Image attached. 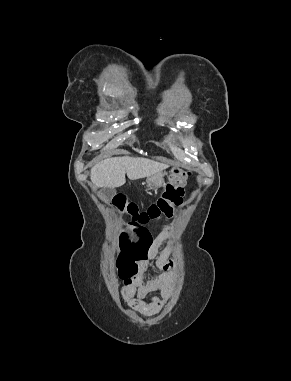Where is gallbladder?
Instances as JSON below:
<instances>
[{
	"label": "gallbladder",
	"instance_id": "bac80fb5",
	"mask_svg": "<svg viewBox=\"0 0 291 381\" xmlns=\"http://www.w3.org/2000/svg\"><path fill=\"white\" fill-rule=\"evenodd\" d=\"M100 193L104 200L110 201L116 195V190L114 188L103 187Z\"/></svg>",
	"mask_w": 291,
	"mask_h": 381
}]
</instances>
